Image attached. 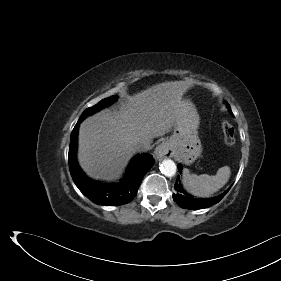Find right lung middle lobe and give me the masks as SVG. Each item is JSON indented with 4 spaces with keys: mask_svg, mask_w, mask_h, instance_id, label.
I'll return each mask as SVG.
<instances>
[{
    "mask_svg": "<svg viewBox=\"0 0 281 281\" xmlns=\"http://www.w3.org/2000/svg\"><path fill=\"white\" fill-rule=\"evenodd\" d=\"M116 97H117V96H112V97L103 99L102 101H100L99 103H97L96 105H94L93 107L86 109V110L82 113L80 119L83 120V119H85L88 115H91V114H93V113L99 111L100 109L106 107L107 105L111 104L113 101L116 100Z\"/></svg>",
    "mask_w": 281,
    "mask_h": 281,
    "instance_id": "1",
    "label": "right lung middle lobe"
}]
</instances>
